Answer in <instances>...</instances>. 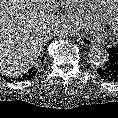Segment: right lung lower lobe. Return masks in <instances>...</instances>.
Listing matches in <instances>:
<instances>
[{"label":"right lung lower lobe","instance_id":"98d812e1","mask_svg":"<svg viewBox=\"0 0 118 118\" xmlns=\"http://www.w3.org/2000/svg\"><path fill=\"white\" fill-rule=\"evenodd\" d=\"M43 62V60H41ZM37 73V70L30 69L26 75H24V78H31ZM15 79V78H14ZM17 80V79H16ZM20 80H24L23 78H20Z\"/></svg>","mask_w":118,"mask_h":118}]
</instances>
